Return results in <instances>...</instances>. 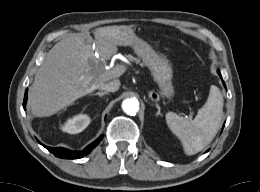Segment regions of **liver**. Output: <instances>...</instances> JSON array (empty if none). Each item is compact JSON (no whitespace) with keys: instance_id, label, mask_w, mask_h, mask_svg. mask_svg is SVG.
Here are the masks:
<instances>
[{"instance_id":"1","label":"liver","mask_w":260,"mask_h":192,"mask_svg":"<svg viewBox=\"0 0 260 192\" xmlns=\"http://www.w3.org/2000/svg\"><path fill=\"white\" fill-rule=\"evenodd\" d=\"M116 27L98 28L95 41L89 35L70 36L56 43L47 53L36 72L30 88L29 106L34 116L45 117L57 113L96 89H100L114 77H109L92 49L104 59L116 53L111 30Z\"/></svg>"}]
</instances>
